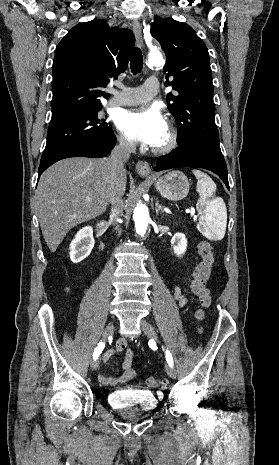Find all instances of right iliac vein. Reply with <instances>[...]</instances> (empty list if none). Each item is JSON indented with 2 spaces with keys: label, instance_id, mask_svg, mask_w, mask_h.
I'll return each instance as SVG.
<instances>
[{
  "label": "right iliac vein",
  "instance_id": "1",
  "mask_svg": "<svg viewBox=\"0 0 279 465\" xmlns=\"http://www.w3.org/2000/svg\"><path fill=\"white\" fill-rule=\"evenodd\" d=\"M113 332H114V325L112 323H109L103 332L102 341H106L111 335H113ZM99 363H100L99 359H94L91 362L92 370L94 371L97 370L99 367Z\"/></svg>",
  "mask_w": 279,
  "mask_h": 465
}]
</instances>
